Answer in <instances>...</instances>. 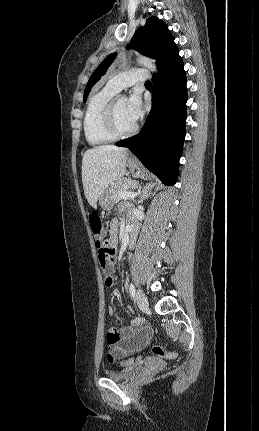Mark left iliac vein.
I'll return each mask as SVG.
<instances>
[{"label": "left iliac vein", "mask_w": 259, "mask_h": 431, "mask_svg": "<svg viewBox=\"0 0 259 431\" xmlns=\"http://www.w3.org/2000/svg\"><path fill=\"white\" fill-rule=\"evenodd\" d=\"M136 302L140 309H147L148 307V299L146 295L142 291H137L136 293Z\"/></svg>", "instance_id": "1"}]
</instances>
